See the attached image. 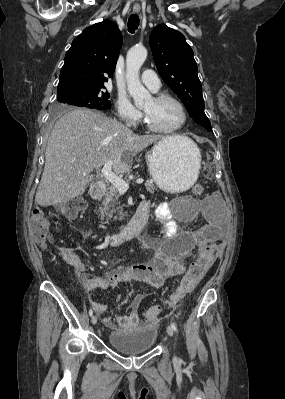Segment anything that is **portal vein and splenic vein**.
<instances>
[{
	"label": "portal vein and splenic vein",
	"mask_w": 285,
	"mask_h": 399,
	"mask_svg": "<svg viewBox=\"0 0 285 399\" xmlns=\"http://www.w3.org/2000/svg\"><path fill=\"white\" fill-rule=\"evenodd\" d=\"M101 173L120 193H125L129 189V183L118 177L112 171V161L109 160L104 164ZM136 183L142 184L143 179H137Z\"/></svg>",
	"instance_id": "18ae733b"
}]
</instances>
